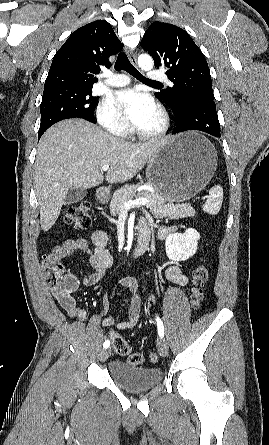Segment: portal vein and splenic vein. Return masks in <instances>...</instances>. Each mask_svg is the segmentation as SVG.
<instances>
[{
  "label": "portal vein and splenic vein",
  "mask_w": 269,
  "mask_h": 445,
  "mask_svg": "<svg viewBox=\"0 0 269 445\" xmlns=\"http://www.w3.org/2000/svg\"><path fill=\"white\" fill-rule=\"evenodd\" d=\"M108 170H109V165H104L101 168V171H104V172L108 171ZM148 203H149V199L148 198L141 197V198H138L136 200H131V201L124 202L123 203V208L128 210V209L134 208L136 206L146 205Z\"/></svg>",
  "instance_id": "obj_1"
}]
</instances>
